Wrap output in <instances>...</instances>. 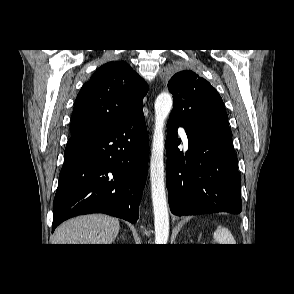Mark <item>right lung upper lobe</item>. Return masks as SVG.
<instances>
[{"label": "right lung upper lobe", "instance_id": "obj_1", "mask_svg": "<svg viewBox=\"0 0 294 294\" xmlns=\"http://www.w3.org/2000/svg\"><path fill=\"white\" fill-rule=\"evenodd\" d=\"M147 83L124 61L102 65L77 95L71 137L114 126L143 109Z\"/></svg>", "mask_w": 294, "mask_h": 294}]
</instances>
